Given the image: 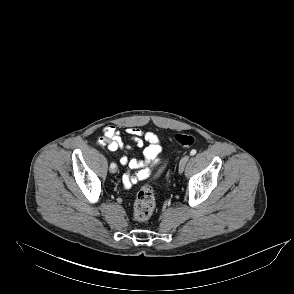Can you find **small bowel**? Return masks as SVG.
<instances>
[{"mask_svg": "<svg viewBox=\"0 0 294 294\" xmlns=\"http://www.w3.org/2000/svg\"><path fill=\"white\" fill-rule=\"evenodd\" d=\"M125 133L137 147H142L144 140L149 143L143 151L144 160H137L127 156L132 146L123 141L120 131L114 125L105 126L103 135L98 138L97 142L101 146H106L110 151L122 153L120 163L128 167V172L123 175L122 182L125 188H130L151 175L155 164L160 161L162 147L158 135L153 132L144 131L139 127H128L125 129ZM134 170L136 172L131 173Z\"/></svg>", "mask_w": 294, "mask_h": 294, "instance_id": "small-bowel-1", "label": "small bowel"}]
</instances>
